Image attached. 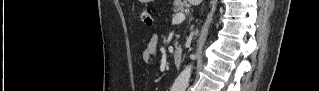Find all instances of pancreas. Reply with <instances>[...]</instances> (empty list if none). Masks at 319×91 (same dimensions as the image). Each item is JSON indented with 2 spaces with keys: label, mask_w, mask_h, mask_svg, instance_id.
I'll list each match as a JSON object with an SVG mask.
<instances>
[{
  "label": "pancreas",
  "mask_w": 319,
  "mask_h": 91,
  "mask_svg": "<svg viewBox=\"0 0 319 91\" xmlns=\"http://www.w3.org/2000/svg\"><path fill=\"white\" fill-rule=\"evenodd\" d=\"M179 2V4H174V7H173V12L174 13H177L179 11H183L184 10V7L186 6V3L185 1H183V3H181L182 1H177Z\"/></svg>",
  "instance_id": "cf45deb5"
}]
</instances>
